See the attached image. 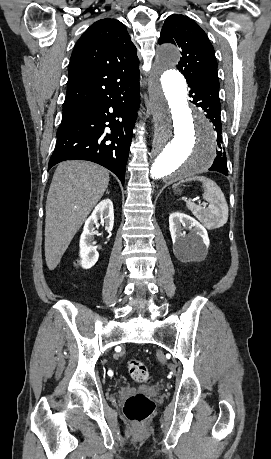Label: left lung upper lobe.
<instances>
[{"mask_svg":"<svg viewBox=\"0 0 271 459\" xmlns=\"http://www.w3.org/2000/svg\"><path fill=\"white\" fill-rule=\"evenodd\" d=\"M170 42L181 49L177 68L188 84L209 82L219 88L214 48L205 32L190 18L170 15L162 28L159 43Z\"/></svg>","mask_w":271,"mask_h":459,"instance_id":"obj_1","label":"left lung upper lobe"}]
</instances>
